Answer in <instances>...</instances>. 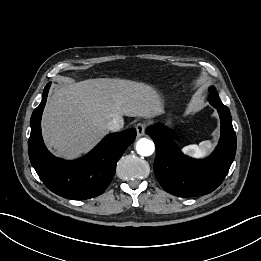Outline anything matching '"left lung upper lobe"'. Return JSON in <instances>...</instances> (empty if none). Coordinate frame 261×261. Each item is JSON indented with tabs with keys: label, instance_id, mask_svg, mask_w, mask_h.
Instances as JSON below:
<instances>
[{
	"label": "left lung upper lobe",
	"instance_id": "5c2ea615",
	"mask_svg": "<svg viewBox=\"0 0 261 261\" xmlns=\"http://www.w3.org/2000/svg\"><path fill=\"white\" fill-rule=\"evenodd\" d=\"M210 104L215 108H223L228 109L227 106H225L222 101L219 98V95L214 87L209 88V98H208Z\"/></svg>",
	"mask_w": 261,
	"mask_h": 261
}]
</instances>
